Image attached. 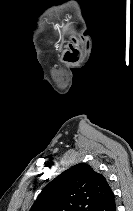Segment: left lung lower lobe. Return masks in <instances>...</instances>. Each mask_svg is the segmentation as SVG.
Returning <instances> with one entry per match:
<instances>
[{
    "label": "left lung lower lobe",
    "mask_w": 133,
    "mask_h": 211,
    "mask_svg": "<svg viewBox=\"0 0 133 211\" xmlns=\"http://www.w3.org/2000/svg\"><path fill=\"white\" fill-rule=\"evenodd\" d=\"M93 211H116L115 196L111 192Z\"/></svg>",
    "instance_id": "obj_1"
}]
</instances>
